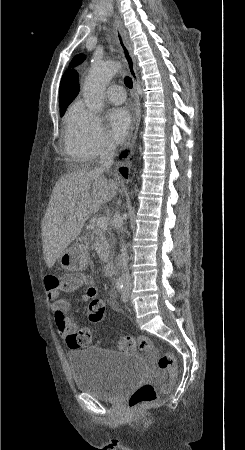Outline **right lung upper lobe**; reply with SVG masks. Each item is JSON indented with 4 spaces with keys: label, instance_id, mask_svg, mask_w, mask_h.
Returning <instances> with one entry per match:
<instances>
[{
    "label": "right lung upper lobe",
    "instance_id": "1",
    "mask_svg": "<svg viewBox=\"0 0 245 450\" xmlns=\"http://www.w3.org/2000/svg\"><path fill=\"white\" fill-rule=\"evenodd\" d=\"M79 92L78 74L76 71L70 70L64 73L59 88V105L60 109L68 107L75 99Z\"/></svg>",
    "mask_w": 245,
    "mask_h": 450
}]
</instances>
